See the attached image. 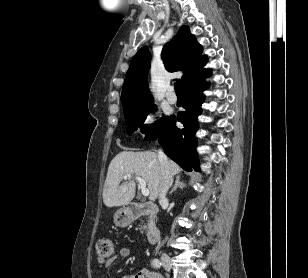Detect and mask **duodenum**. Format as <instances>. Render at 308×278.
Instances as JSON below:
<instances>
[{
	"label": "duodenum",
	"mask_w": 308,
	"mask_h": 278,
	"mask_svg": "<svg viewBox=\"0 0 308 278\" xmlns=\"http://www.w3.org/2000/svg\"><path fill=\"white\" fill-rule=\"evenodd\" d=\"M158 209L153 204L130 203L125 207V217L128 221H133L140 216L147 214L151 218V223L148 229L147 238L150 243H156L160 238V229L155 220Z\"/></svg>",
	"instance_id": "duodenum-1"
}]
</instances>
